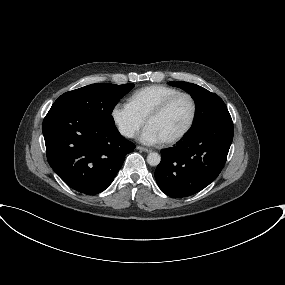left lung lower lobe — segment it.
Segmentation results:
<instances>
[{
    "mask_svg": "<svg viewBox=\"0 0 285 285\" xmlns=\"http://www.w3.org/2000/svg\"><path fill=\"white\" fill-rule=\"evenodd\" d=\"M233 125H211L190 131L175 147L163 150L155 178L170 197L193 195L221 172L233 140Z\"/></svg>",
    "mask_w": 285,
    "mask_h": 285,
    "instance_id": "1",
    "label": "left lung lower lobe"
}]
</instances>
